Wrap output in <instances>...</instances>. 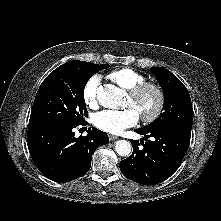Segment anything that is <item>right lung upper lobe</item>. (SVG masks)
I'll list each match as a JSON object with an SVG mask.
<instances>
[{"mask_svg":"<svg viewBox=\"0 0 221 221\" xmlns=\"http://www.w3.org/2000/svg\"><path fill=\"white\" fill-rule=\"evenodd\" d=\"M84 63V61H69L61 66H59L58 68H56L55 70L58 69H62V68H71V67H77L80 66Z\"/></svg>","mask_w":221,"mask_h":221,"instance_id":"cb5924a9","label":"right lung upper lobe"}]
</instances>
